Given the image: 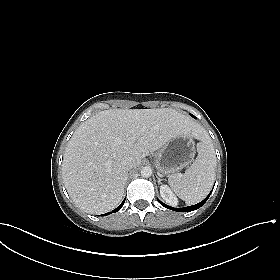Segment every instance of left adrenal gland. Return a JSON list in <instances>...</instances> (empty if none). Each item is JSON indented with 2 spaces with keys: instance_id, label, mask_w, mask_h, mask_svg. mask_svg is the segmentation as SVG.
Instances as JSON below:
<instances>
[{
  "instance_id": "obj_1",
  "label": "left adrenal gland",
  "mask_w": 280,
  "mask_h": 280,
  "mask_svg": "<svg viewBox=\"0 0 280 280\" xmlns=\"http://www.w3.org/2000/svg\"><path fill=\"white\" fill-rule=\"evenodd\" d=\"M162 179L158 177V184H161Z\"/></svg>"
}]
</instances>
